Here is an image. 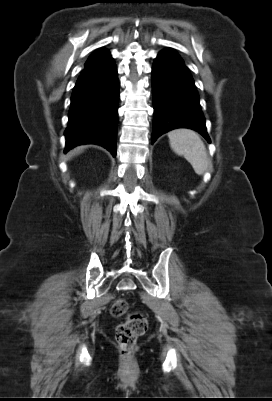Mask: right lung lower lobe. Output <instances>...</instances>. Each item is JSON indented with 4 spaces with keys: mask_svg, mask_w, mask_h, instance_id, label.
<instances>
[{
    "mask_svg": "<svg viewBox=\"0 0 272 401\" xmlns=\"http://www.w3.org/2000/svg\"><path fill=\"white\" fill-rule=\"evenodd\" d=\"M119 82L117 68L105 49L85 63L71 97L65 131L66 153L81 144H99L116 156Z\"/></svg>",
    "mask_w": 272,
    "mask_h": 401,
    "instance_id": "right-lung-lower-lobe-1",
    "label": "right lung lower lobe"
}]
</instances>
